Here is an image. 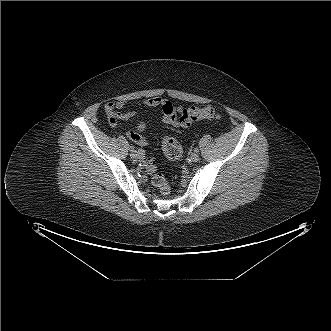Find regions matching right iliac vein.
Listing matches in <instances>:
<instances>
[{
    "label": "right iliac vein",
    "mask_w": 331,
    "mask_h": 331,
    "mask_svg": "<svg viewBox=\"0 0 331 331\" xmlns=\"http://www.w3.org/2000/svg\"><path fill=\"white\" fill-rule=\"evenodd\" d=\"M130 156L133 160H138L141 157V154L138 153L137 151H134L130 154Z\"/></svg>",
    "instance_id": "63e3f726"
}]
</instances>
